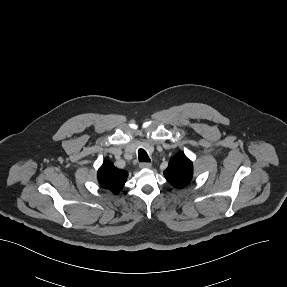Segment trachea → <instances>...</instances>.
Here are the masks:
<instances>
[{
	"mask_svg": "<svg viewBox=\"0 0 287 287\" xmlns=\"http://www.w3.org/2000/svg\"><path fill=\"white\" fill-rule=\"evenodd\" d=\"M138 157H139L140 162H150L151 161L147 152L143 149H139Z\"/></svg>",
	"mask_w": 287,
	"mask_h": 287,
	"instance_id": "obj_1",
	"label": "trachea"
}]
</instances>
